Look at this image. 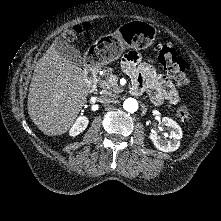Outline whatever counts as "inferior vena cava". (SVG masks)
<instances>
[{"instance_id": "602c4592", "label": "inferior vena cava", "mask_w": 221, "mask_h": 221, "mask_svg": "<svg viewBox=\"0 0 221 221\" xmlns=\"http://www.w3.org/2000/svg\"><path fill=\"white\" fill-rule=\"evenodd\" d=\"M100 102H102V103H114V102H116V96L114 94H111L110 92H104L100 96Z\"/></svg>"}]
</instances>
